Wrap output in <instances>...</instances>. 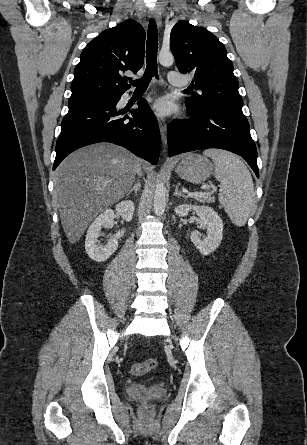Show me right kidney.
Returning <instances> with one entry per match:
<instances>
[{
  "label": "right kidney",
  "instance_id": "1",
  "mask_svg": "<svg viewBox=\"0 0 307 445\" xmlns=\"http://www.w3.org/2000/svg\"><path fill=\"white\" fill-rule=\"evenodd\" d=\"M116 210L128 223V220H132L134 212L133 200H122V202H118V204H116ZM114 216V210L107 208L105 212H102V214H99V216L93 220L92 225H90L87 231L85 241L86 253L90 259L97 261V263L107 261V259L115 253L116 249H118V239H121L125 233L124 229H121L115 237L109 239L107 245H98V237H100L102 227H110L113 223Z\"/></svg>",
  "mask_w": 307,
  "mask_h": 445
}]
</instances>
